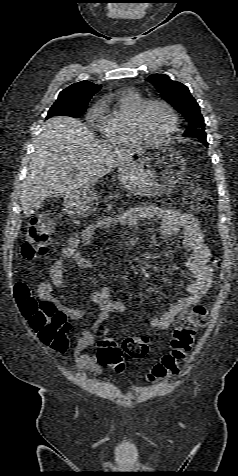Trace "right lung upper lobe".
I'll return each mask as SVG.
<instances>
[{"label":"right lung upper lobe","instance_id":"1","mask_svg":"<svg viewBox=\"0 0 238 476\" xmlns=\"http://www.w3.org/2000/svg\"><path fill=\"white\" fill-rule=\"evenodd\" d=\"M100 85L84 80L62 90L58 99H68L75 103L88 104L91 97L99 91Z\"/></svg>","mask_w":238,"mask_h":476}]
</instances>
